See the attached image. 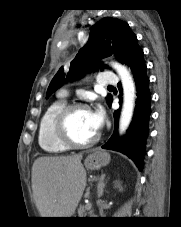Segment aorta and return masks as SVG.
I'll use <instances>...</instances> for the list:
<instances>
[{
    "mask_svg": "<svg viewBox=\"0 0 181 227\" xmlns=\"http://www.w3.org/2000/svg\"><path fill=\"white\" fill-rule=\"evenodd\" d=\"M111 66L118 73L123 86V106L120 116L119 131L123 134L128 128L135 107V84L128 69L117 63H111Z\"/></svg>",
    "mask_w": 181,
    "mask_h": 227,
    "instance_id": "1",
    "label": "aorta"
}]
</instances>
